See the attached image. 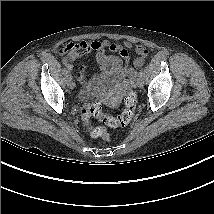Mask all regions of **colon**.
<instances>
[{
  "label": "colon",
  "instance_id": "1",
  "mask_svg": "<svg viewBox=\"0 0 214 214\" xmlns=\"http://www.w3.org/2000/svg\"><path fill=\"white\" fill-rule=\"evenodd\" d=\"M136 52L139 57L136 59V66H142L144 59L147 56V50L144 47H137ZM75 54V53H73ZM121 54L127 55L126 51H122ZM136 94L129 86L124 97V107L120 115L114 116L111 113L104 111L102 105L99 101L92 103L87 112L83 116V121L87 126L89 133L92 137L101 138L105 142L110 141L111 137L104 126L92 127L90 125V118L95 117L102 121L105 125L109 127H124L128 125L134 118L136 109Z\"/></svg>",
  "mask_w": 214,
  "mask_h": 214
}]
</instances>
